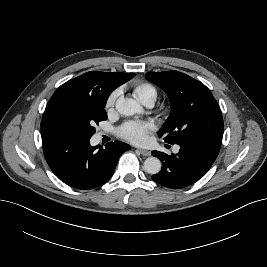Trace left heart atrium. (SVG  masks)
<instances>
[{
    "instance_id": "1",
    "label": "left heart atrium",
    "mask_w": 267,
    "mask_h": 267,
    "mask_svg": "<svg viewBox=\"0 0 267 267\" xmlns=\"http://www.w3.org/2000/svg\"><path fill=\"white\" fill-rule=\"evenodd\" d=\"M153 129V125L145 121H127L118 130L121 138L134 144H144Z\"/></svg>"
}]
</instances>
